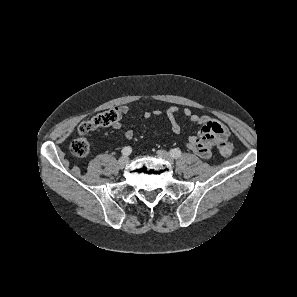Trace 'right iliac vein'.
Segmentation results:
<instances>
[{"label": "right iliac vein", "mask_w": 297, "mask_h": 297, "mask_svg": "<svg viewBox=\"0 0 297 297\" xmlns=\"http://www.w3.org/2000/svg\"><path fill=\"white\" fill-rule=\"evenodd\" d=\"M129 163V158L127 156H122L119 160H118V167L120 169H123L124 167H126Z\"/></svg>", "instance_id": "right-iliac-vein-1"}]
</instances>
